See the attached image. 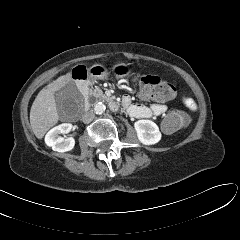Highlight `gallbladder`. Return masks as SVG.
<instances>
[{"label": "gallbladder", "instance_id": "bac80fb5", "mask_svg": "<svg viewBox=\"0 0 240 240\" xmlns=\"http://www.w3.org/2000/svg\"><path fill=\"white\" fill-rule=\"evenodd\" d=\"M54 96L61 117L74 112L81 104L80 94L73 82H69L65 87L57 91Z\"/></svg>", "mask_w": 240, "mask_h": 240}]
</instances>
